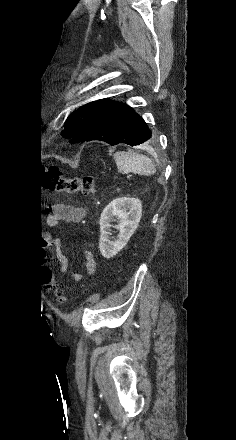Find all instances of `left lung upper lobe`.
<instances>
[{
	"label": "left lung upper lobe",
	"instance_id": "5c2ea615",
	"mask_svg": "<svg viewBox=\"0 0 236 440\" xmlns=\"http://www.w3.org/2000/svg\"><path fill=\"white\" fill-rule=\"evenodd\" d=\"M109 102L110 99L90 102L70 114L65 122V128L62 131L63 137L72 139L79 132L83 124Z\"/></svg>",
	"mask_w": 236,
	"mask_h": 440
}]
</instances>
